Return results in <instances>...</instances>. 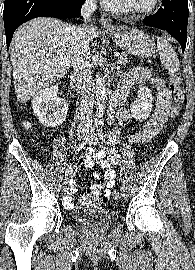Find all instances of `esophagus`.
Listing matches in <instances>:
<instances>
[{"label": "esophagus", "mask_w": 195, "mask_h": 270, "mask_svg": "<svg viewBox=\"0 0 195 270\" xmlns=\"http://www.w3.org/2000/svg\"><path fill=\"white\" fill-rule=\"evenodd\" d=\"M101 25L106 29H113L112 20L107 14H102Z\"/></svg>", "instance_id": "esophagus-1"}]
</instances>
